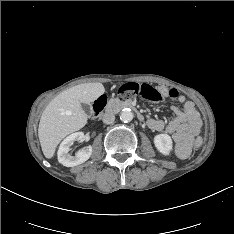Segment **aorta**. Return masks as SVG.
I'll list each match as a JSON object with an SVG mask.
<instances>
[{
    "label": "aorta",
    "instance_id": "obj_1",
    "mask_svg": "<svg viewBox=\"0 0 234 234\" xmlns=\"http://www.w3.org/2000/svg\"><path fill=\"white\" fill-rule=\"evenodd\" d=\"M120 119H121V121H123L125 123L132 121L133 113H132L131 109H128V108L123 109L121 114H120Z\"/></svg>",
    "mask_w": 234,
    "mask_h": 234
}]
</instances>
